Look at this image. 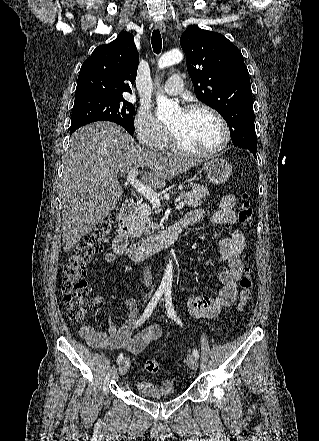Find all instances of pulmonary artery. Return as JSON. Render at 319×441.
<instances>
[{"label":"pulmonary artery","instance_id":"obj_1","mask_svg":"<svg viewBox=\"0 0 319 441\" xmlns=\"http://www.w3.org/2000/svg\"><path fill=\"white\" fill-rule=\"evenodd\" d=\"M183 90V80L180 75H172L163 85L162 91L169 95H178Z\"/></svg>","mask_w":319,"mask_h":441}]
</instances>
